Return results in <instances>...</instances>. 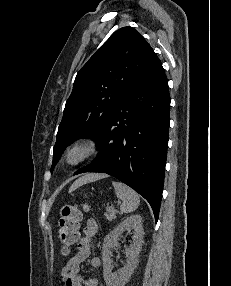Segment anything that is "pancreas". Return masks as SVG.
Listing matches in <instances>:
<instances>
[{"label": "pancreas", "mask_w": 231, "mask_h": 286, "mask_svg": "<svg viewBox=\"0 0 231 286\" xmlns=\"http://www.w3.org/2000/svg\"><path fill=\"white\" fill-rule=\"evenodd\" d=\"M116 213H118V211L116 209H114L113 207L108 208L107 213L105 214L106 219L109 221L115 219Z\"/></svg>", "instance_id": "1"}]
</instances>
